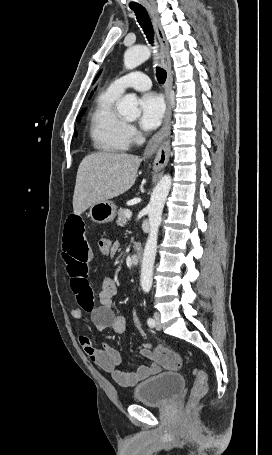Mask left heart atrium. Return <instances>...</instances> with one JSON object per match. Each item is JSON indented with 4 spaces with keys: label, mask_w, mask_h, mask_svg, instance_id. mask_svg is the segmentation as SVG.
I'll list each match as a JSON object with an SVG mask.
<instances>
[{
    "label": "left heart atrium",
    "mask_w": 272,
    "mask_h": 455,
    "mask_svg": "<svg viewBox=\"0 0 272 455\" xmlns=\"http://www.w3.org/2000/svg\"><path fill=\"white\" fill-rule=\"evenodd\" d=\"M140 126L145 130H153L162 122L165 104L160 95L154 92L144 94L140 101Z\"/></svg>",
    "instance_id": "39dd6f15"
}]
</instances>
